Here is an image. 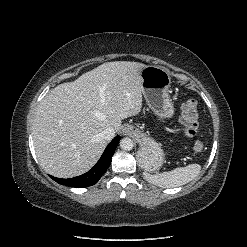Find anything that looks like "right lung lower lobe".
<instances>
[{
  "mask_svg": "<svg viewBox=\"0 0 247 247\" xmlns=\"http://www.w3.org/2000/svg\"><path fill=\"white\" fill-rule=\"evenodd\" d=\"M120 136H116L111 143L107 146L104 153L102 154L96 165L87 173L69 179H61L51 176V178L59 184L70 186V187H88L96 184L101 176L108 169L111 164V158L115 152V149L119 143Z\"/></svg>",
  "mask_w": 247,
  "mask_h": 247,
  "instance_id": "obj_1",
  "label": "right lung lower lobe"
}]
</instances>
